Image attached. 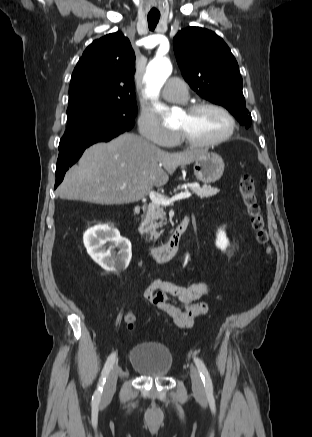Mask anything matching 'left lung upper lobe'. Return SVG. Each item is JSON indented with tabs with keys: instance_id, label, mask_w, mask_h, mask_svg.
Segmentation results:
<instances>
[{
	"instance_id": "left-lung-upper-lobe-1",
	"label": "left lung upper lobe",
	"mask_w": 312,
	"mask_h": 437,
	"mask_svg": "<svg viewBox=\"0 0 312 437\" xmlns=\"http://www.w3.org/2000/svg\"><path fill=\"white\" fill-rule=\"evenodd\" d=\"M174 53L184 79L201 97L227 108L241 125H251L236 59L216 33L188 27L174 37Z\"/></svg>"
}]
</instances>
